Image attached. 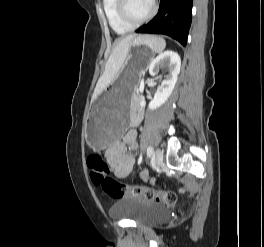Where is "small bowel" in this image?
<instances>
[{
	"mask_svg": "<svg viewBox=\"0 0 264 247\" xmlns=\"http://www.w3.org/2000/svg\"><path fill=\"white\" fill-rule=\"evenodd\" d=\"M141 117V113L134 114L130 120L131 125L133 127L138 125ZM137 148V132L134 128H131L122 140L107 149V160L115 177L125 178L129 175L134 166V158L128 153V150H136ZM142 177L146 179L147 174L143 173Z\"/></svg>",
	"mask_w": 264,
	"mask_h": 247,
	"instance_id": "small-bowel-1",
	"label": "small bowel"
}]
</instances>
